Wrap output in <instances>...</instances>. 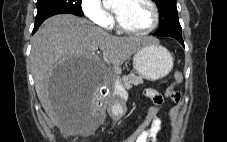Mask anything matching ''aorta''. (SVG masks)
<instances>
[{"mask_svg": "<svg viewBox=\"0 0 227 142\" xmlns=\"http://www.w3.org/2000/svg\"><path fill=\"white\" fill-rule=\"evenodd\" d=\"M114 0H103V4L106 5H110Z\"/></svg>", "mask_w": 227, "mask_h": 142, "instance_id": "762f6f07", "label": "aorta"}]
</instances>
